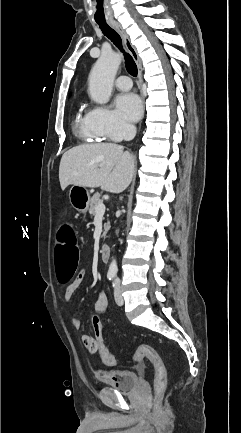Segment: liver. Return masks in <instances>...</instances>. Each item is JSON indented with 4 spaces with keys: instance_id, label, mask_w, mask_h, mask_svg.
<instances>
[{
    "instance_id": "1",
    "label": "liver",
    "mask_w": 241,
    "mask_h": 433,
    "mask_svg": "<svg viewBox=\"0 0 241 433\" xmlns=\"http://www.w3.org/2000/svg\"><path fill=\"white\" fill-rule=\"evenodd\" d=\"M135 158L114 143L85 144L65 152L59 166L61 189L69 185L100 187L110 193H121L131 183Z\"/></svg>"
}]
</instances>
